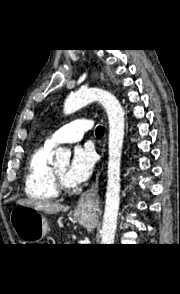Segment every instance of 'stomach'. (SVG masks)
Returning a JSON list of instances; mask_svg holds the SVG:
<instances>
[{
  "instance_id": "1",
  "label": "stomach",
  "mask_w": 180,
  "mask_h": 294,
  "mask_svg": "<svg viewBox=\"0 0 180 294\" xmlns=\"http://www.w3.org/2000/svg\"><path fill=\"white\" fill-rule=\"evenodd\" d=\"M74 217L86 227H94V221L86 211L74 213ZM16 235L25 244H35L45 237L48 229L47 219L39 211L26 205H17L10 216Z\"/></svg>"
}]
</instances>
